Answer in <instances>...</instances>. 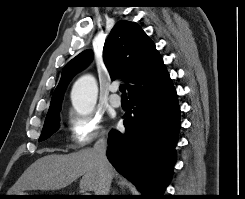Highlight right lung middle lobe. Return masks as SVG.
Here are the masks:
<instances>
[{"mask_svg": "<svg viewBox=\"0 0 245 199\" xmlns=\"http://www.w3.org/2000/svg\"><path fill=\"white\" fill-rule=\"evenodd\" d=\"M59 110L53 114L46 116L45 123L40 135L39 141H43L49 138L53 133H55L59 128Z\"/></svg>", "mask_w": 245, "mask_h": 199, "instance_id": "obj_1", "label": "right lung middle lobe"}]
</instances>
